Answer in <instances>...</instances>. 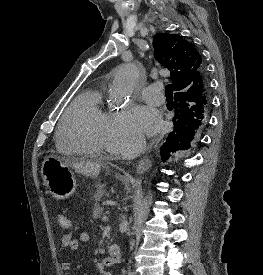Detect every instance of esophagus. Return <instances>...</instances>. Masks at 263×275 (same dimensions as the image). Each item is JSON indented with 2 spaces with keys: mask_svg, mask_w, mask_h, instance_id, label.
<instances>
[{
  "mask_svg": "<svg viewBox=\"0 0 263 275\" xmlns=\"http://www.w3.org/2000/svg\"><path fill=\"white\" fill-rule=\"evenodd\" d=\"M159 141H160V138L157 139L155 142H152L150 147L155 148ZM141 169H144V165L142 163H140L139 166H138V170H141Z\"/></svg>",
  "mask_w": 263,
  "mask_h": 275,
  "instance_id": "obj_1",
  "label": "esophagus"
}]
</instances>
